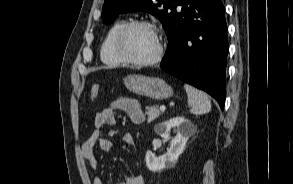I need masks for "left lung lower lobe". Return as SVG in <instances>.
Wrapping results in <instances>:
<instances>
[{
	"mask_svg": "<svg viewBox=\"0 0 293 184\" xmlns=\"http://www.w3.org/2000/svg\"><path fill=\"white\" fill-rule=\"evenodd\" d=\"M160 67L225 104L228 40L221 0H179Z\"/></svg>",
	"mask_w": 293,
	"mask_h": 184,
	"instance_id": "left-lung-lower-lobe-1",
	"label": "left lung lower lobe"
}]
</instances>
